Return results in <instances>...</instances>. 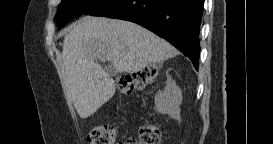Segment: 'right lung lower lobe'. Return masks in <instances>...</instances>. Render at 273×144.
Listing matches in <instances>:
<instances>
[{
    "label": "right lung lower lobe",
    "instance_id": "98d812e1",
    "mask_svg": "<svg viewBox=\"0 0 273 144\" xmlns=\"http://www.w3.org/2000/svg\"><path fill=\"white\" fill-rule=\"evenodd\" d=\"M203 3L204 0H109L90 15L140 24L173 44L198 70Z\"/></svg>",
    "mask_w": 273,
    "mask_h": 144
}]
</instances>
